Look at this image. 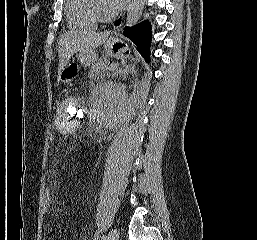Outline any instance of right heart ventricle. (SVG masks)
Instances as JSON below:
<instances>
[{
  "instance_id": "right-heart-ventricle-1",
  "label": "right heart ventricle",
  "mask_w": 257,
  "mask_h": 240,
  "mask_svg": "<svg viewBox=\"0 0 257 240\" xmlns=\"http://www.w3.org/2000/svg\"><path fill=\"white\" fill-rule=\"evenodd\" d=\"M65 12L69 27L74 29L94 28L99 22L90 0H66Z\"/></svg>"
}]
</instances>
